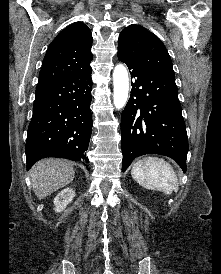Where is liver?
Segmentation results:
<instances>
[{
  "label": "liver",
  "instance_id": "6515ba94",
  "mask_svg": "<svg viewBox=\"0 0 221 274\" xmlns=\"http://www.w3.org/2000/svg\"><path fill=\"white\" fill-rule=\"evenodd\" d=\"M75 170L71 162L63 159H43L30 170L32 189L39 199L71 183Z\"/></svg>",
  "mask_w": 221,
  "mask_h": 274
}]
</instances>
